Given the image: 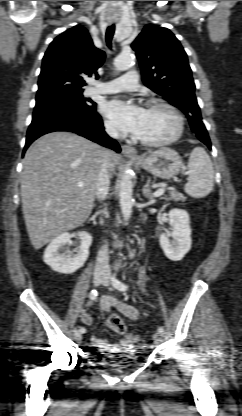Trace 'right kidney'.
<instances>
[{"instance_id": "right-kidney-1", "label": "right kidney", "mask_w": 242, "mask_h": 416, "mask_svg": "<svg viewBox=\"0 0 242 416\" xmlns=\"http://www.w3.org/2000/svg\"><path fill=\"white\" fill-rule=\"evenodd\" d=\"M81 245L73 255L70 251L60 253V248L70 242L71 235L62 233L54 238L44 252V262L51 267L52 270L62 274H71L83 266L89 255V247L92 244V236L86 232H78Z\"/></svg>"}]
</instances>
